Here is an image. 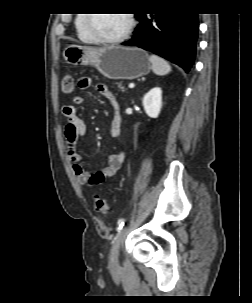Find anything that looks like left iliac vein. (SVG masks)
Wrapping results in <instances>:
<instances>
[{
  "label": "left iliac vein",
  "instance_id": "obj_1",
  "mask_svg": "<svg viewBox=\"0 0 252 303\" xmlns=\"http://www.w3.org/2000/svg\"><path fill=\"white\" fill-rule=\"evenodd\" d=\"M127 233V227H123L118 235V237L115 239L112 248H111V256H110V262L112 264H117L119 260V249L120 245Z\"/></svg>",
  "mask_w": 252,
  "mask_h": 303
}]
</instances>
